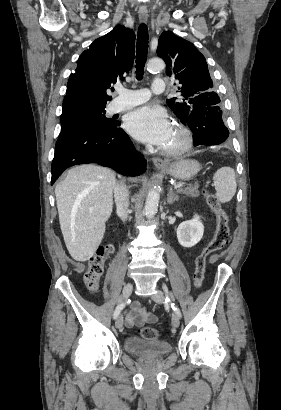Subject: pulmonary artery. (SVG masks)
I'll list each match as a JSON object with an SVG mask.
<instances>
[{
  "label": "pulmonary artery",
  "instance_id": "pulmonary-artery-1",
  "mask_svg": "<svg viewBox=\"0 0 281 410\" xmlns=\"http://www.w3.org/2000/svg\"><path fill=\"white\" fill-rule=\"evenodd\" d=\"M166 89V84L163 79L156 78L154 79L151 90L154 93H162ZM116 91L119 94V97L114 100L112 104V110L114 112H121L128 109H131L137 105H140L146 102L149 99V92L147 89L140 90H129L123 86L118 85Z\"/></svg>",
  "mask_w": 281,
  "mask_h": 410
}]
</instances>
